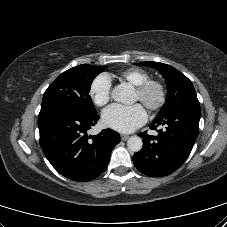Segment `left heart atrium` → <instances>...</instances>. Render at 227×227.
<instances>
[{"instance_id":"left-heart-atrium-1","label":"left heart atrium","mask_w":227,"mask_h":227,"mask_svg":"<svg viewBox=\"0 0 227 227\" xmlns=\"http://www.w3.org/2000/svg\"><path fill=\"white\" fill-rule=\"evenodd\" d=\"M102 119L107 127L130 133L147 121V112L139 103L131 106L114 104L104 110Z\"/></svg>"}]
</instances>
